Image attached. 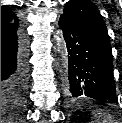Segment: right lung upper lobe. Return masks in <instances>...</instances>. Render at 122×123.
Masks as SVG:
<instances>
[{
  "label": "right lung upper lobe",
  "instance_id": "obj_1",
  "mask_svg": "<svg viewBox=\"0 0 122 123\" xmlns=\"http://www.w3.org/2000/svg\"><path fill=\"white\" fill-rule=\"evenodd\" d=\"M4 23L19 24V17L9 8H1V24Z\"/></svg>",
  "mask_w": 122,
  "mask_h": 123
}]
</instances>
